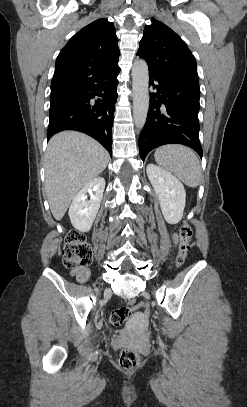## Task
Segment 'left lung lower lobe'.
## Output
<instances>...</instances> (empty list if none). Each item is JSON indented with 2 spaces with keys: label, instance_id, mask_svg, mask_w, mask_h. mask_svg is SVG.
<instances>
[{
  "label": "left lung lower lobe",
  "instance_id": "0a47b994",
  "mask_svg": "<svg viewBox=\"0 0 247 407\" xmlns=\"http://www.w3.org/2000/svg\"><path fill=\"white\" fill-rule=\"evenodd\" d=\"M149 111L139 136V152L146 155L161 145L183 144L203 155L199 142V83L150 72Z\"/></svg>",
  "mask_w": 247,
  "mask_h": 407
}]
</instances>
